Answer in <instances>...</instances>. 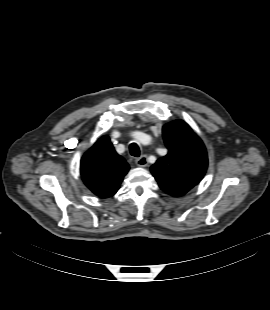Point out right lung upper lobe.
Instances as JSON below:
<instances>
[{
  "label": "right lung upper lobe",
  "instance_id": "cb5924a9",
  "mask_svg": "<svg viewBox=\"0 0 270 310\" xmlns=\"http://www.w3.org/2000/svg\"><path fill=\"white\" fill-rule=\"evenodd\" d=\"M129 165L114 150L108 136H102L83 155L81 176L85 185L98 197L108 198L119 189Z\"/></svg>",
  "mask_w": 270,
  "mask_h": 310
}]
</instances>
